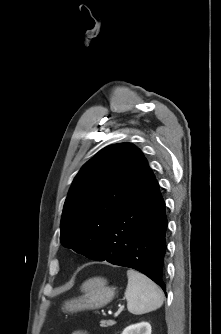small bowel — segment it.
Returning a JSON list of instances; mask_svg holds the SVG:
<instances>
[{
	"instance_id": "obj_1",
	"label": "small bowel",
	"mask_w": 221,
	"mask_h": 334,
	"mask_svg": "<svg viewBox=\"0 0 221 334\" xmlns=\"http://www.w3.org/2000/svg\"><path fill=\"white\" fill-rule=\"evenodd\" d=\"M72 334H87V333L82 330H77V331H74Z\"/></svg>"
}]
</instances>
